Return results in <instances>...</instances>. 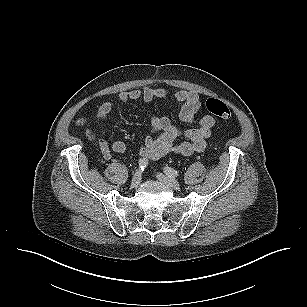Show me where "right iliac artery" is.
Segmentation results:
<instances>
[{
    "label": "right iliac artery",
    "mask_w": 307,
    "mask_h": 307,
    "mask_svg": "<svg viewBox=\"0 0 307 307\" xmlns=\"http://www.w3.org/2000/svg\"><path fill=\"white\" fill-rule=\"evenodd\" d=\"M147 165H148V160L147 159H145V158H141L140 160H139V169L140 170H142V171H144V169L147 167Z\"/></svg>",
    "instance_id": "1"
}]
</instances>
